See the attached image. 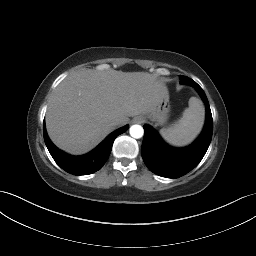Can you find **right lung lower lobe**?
<instances>
[{
  "mask_svg": "<svg viewBox=\"0 0 256 256\" xmlns=\"http://www.w3.org/2000/svg\"><path fill=\"white\" fill-rule=\"evenodd\" d=\"M127 129V125L117 129L107 136L94 150L82 156H71L55 147L47 135L45 124L43 125V134L51 156L62 169L73 175H88L98 171L105 164L115 138L127 131Z\"/></svg>",
  "mask_w": 256,
  "mask_h": 256,
  "instance_id": "1",
  "label": "right lung lower lobe"
}]
</instances>
